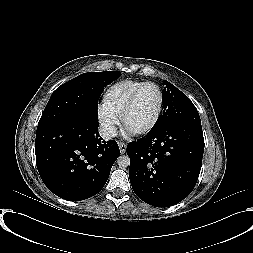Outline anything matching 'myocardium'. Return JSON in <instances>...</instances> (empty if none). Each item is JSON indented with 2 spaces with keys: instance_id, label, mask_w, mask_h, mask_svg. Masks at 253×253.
I'll list each match as a JSON object with an SVG mask.
<instances>
[{
  "instance_id": "myocardium-1",
  "label": "myocardium",
  "mask_w": 253,
  "mask_h": 253,
  "mask_svg": "<svg viewBox=\"0 0 253 253\" xmlns=\"http://www.w3.org/2000/svg\"><path fill=\"white\" fill-rule=\"evenodd\" d=\"M148 86H153L157 89L159 96H160L159 105H158L157 111H156L151 123L143 129L131 131V133L134 135H145V134H148L149 132H151L158 124L159 119H160L162 112H163L164 103H165V96H164V92H163L162 88L155 82H151V81L144 82L141 85H139L132 92L130 97L128 98V100L121 112V115H120L122 125L126 128V118L129 114V112L132 110L133 106L135 105L140 92Z\"/></svg>"
}]
</instances>
